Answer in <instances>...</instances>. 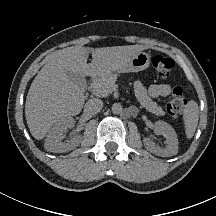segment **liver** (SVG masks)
<instances>
[{"mask_svg": "<svg viewBox=\"0 0 216 216\" xmlns=\"http://www.w3.org/2000/svg\"><path fill=\"white\" fill-rule=\"evenodd\" d=\"M144 49L142 45L96 49L72 46L53 53L27 94L25 116L32 136L41 140L54 123L81 112L85 102L82 84L71 81L67 71L81 77L107 75L119 70ZM90 52L92 62L87 64Z\"/></svg>", "mask_w": 216, "mask_h": 216, "instance_id": "liver-1", "label": "liver"}]
</instances>
